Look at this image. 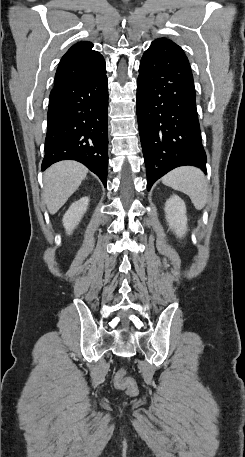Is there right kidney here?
<instances>
[{"label":"right kidney","instance_id":"right-kidney-1","mask_svg":"<svg viewBox=\"0 0 245 457\" xmlns=\"http://www.w3.org/2000/svg\"><path fill=\"white\" fill-rule=\"evenodd\" d=\"M89 204V196H82L79 200H75L70 204L68 210H66L62 222L64 229H66L67 235H71L76 224L80 222L83 214H85Z\"/></svg>","mask_w":245,"mask_h":457}]
</instances>
